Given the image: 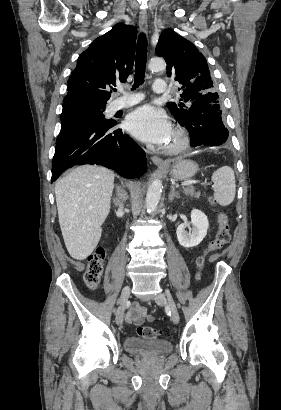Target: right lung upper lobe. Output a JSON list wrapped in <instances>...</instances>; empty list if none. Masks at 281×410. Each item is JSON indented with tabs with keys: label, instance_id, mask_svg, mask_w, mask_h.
<instances>
[{
	"label": "right lung upper lobe",
	"instance_id": "cb5924a9",
	"mask_svg": "<svg viewBox=\"0 0 281 410\" xmlns=\"http://www.w3.org/2000/svg\"><path fill=\"white\" fill-rule=\"evenodd\" d=\"M136 34L133 26L118 23L95 39L78 57L77 67L67 82L68 93L63 107L77 104L106 106L110 98L106 88L116 80L125 82L132 70Z\"/></svg>",
	"mask_w": 281,
	"mask_h": 410
}]
</instances>
